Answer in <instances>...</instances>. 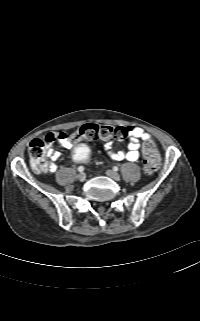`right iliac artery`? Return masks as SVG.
I'll return each instance as SVG.
<instances>
[{
  "label": "right iliac artery",
  "instance_id": "right-iliac-artery-1",
  "mask_svg": "<svg viewBox=\"0 0 200 321\" xmlns=\"http://www.w3.org/2000/svg\"><path fill=\"white\" fill-rule=\"evenodd\" d=\"M78 171H79V172H83V171H84V167H83V166H79V167H78Z\"/></svg>",
  "mask_w": 200,
  "mask_h": 321
}]
</instances>
